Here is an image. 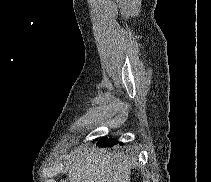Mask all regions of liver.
Here are the masks:
<instances>
[{"instance_id": "liver-1", "label": "liver", "mask_w": 211, "mask_h": 182, "mask_svg": "<svg viewBox=\"0 0 211 182\" xmlns=\"http://www.w3.org/2000/svg\"><path fill=\"white\" fill-rule=\"evenodd\" d=\"M131 161L122 152L84 150L68 165L69 182H130Z\"/></svg>"}]
</instances>
